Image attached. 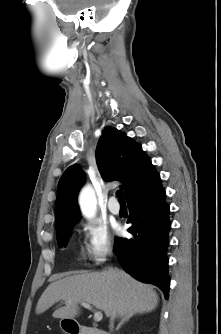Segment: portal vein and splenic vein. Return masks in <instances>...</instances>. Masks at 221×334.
Masks as SVG:
<instances>
[{
  "label": "portal vein and splenic vein",
  "instance_id": "18ae733b",
  "mask_svg": "<svg viewBox=\"0 0 221 334\" xmlns=\"http://www.w3.org/2000/svg\"><path fill=\"white\" fill-rule=\"evenodd\" d=\"M81 305H82L84 308L89 309V310H91V311L94 312V320H95L96 322H99V321L102 320V318H103V314H102V312L93 310V307H92L90 304H88V303L82 302Z\"/></svg>",
  "mask_w": 221,
  "mask_h": 334
}]
</instances>
